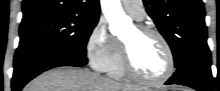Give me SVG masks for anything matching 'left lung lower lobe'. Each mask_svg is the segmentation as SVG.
Here are the masks:
<instances>
[{"instance_id":"0a47b994","label":"left lung lower lobe","mask_w":220,"mask_h":91,"mask_svg":"<svg viewBox=\"0 0 220 91\" xmlns=\"http://www.w3.org/2000/svg\"><path fill=\"white\" fill-rule=\"evenodd\" d=\"M165 84L185 85L197 91H214L215 83L211 73V58L199 60L176 71Z\"/></svg>"}]
</instances>
